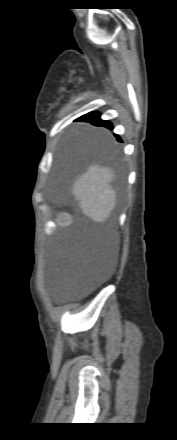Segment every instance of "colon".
Masks as SVG:
<instances>
[{"mask_svg":"<svg viewBox=\"0 0 177 440\" xmlns=\"http://www.w3.org/2000/svg\"><path fill=\"white\" fill-rule=\"evenodd\" d=\"M71 221L70 215L66 213H62L58 216L56 222H49L46 225V228L49 232H52L56 225L65 226L68 225Z\"/></svg>","mask_w":177,"mask_h":440,"instance_id":"5ec220e1","label":"colon"}]
</instances>
